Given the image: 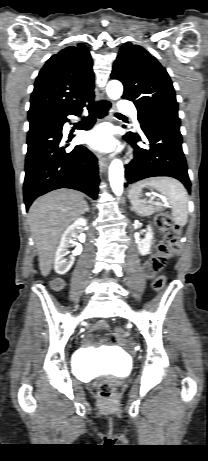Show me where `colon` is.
I'll list each match as a JSON object with an SVG mask.
<instances>
[{
  "mask_svg": "<svg viewBox=\"0 0 208 461\" xmlns=\"http://www.w3.org/2000/svg\"><path fill=\"white\" fill-rule=\"evenodd\" d=\"M155 225L165 236V243L160 246L158 253L148 261L149 268L156 271L166 265L173 252L180 246V230L172 217L166 213L156 215ZM165 282V277L160 276L155 281L154 286L160 290L164 287ZM115 333L118 339L123 340L125 338L122 329H116ZM97 392L102 399L108 400L115 392V384L111 380L104 379L98 383Z\"/></svg>",
  "mask_w": 208,
  "mask_h": 461,
  "instance_id": "1",
  "label": "colon"
}]
</instances>
